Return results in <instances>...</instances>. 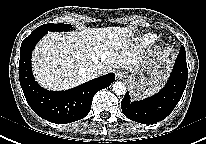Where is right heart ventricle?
Segmentation results:
<instances>
[{
  "label": "right heart ventricle",
  "instance_id": "obj_1",
  "mask_svg": "<svg viewBox=\"0 0 206 144\" xmlns=\"http://www.w3.org/2000/svg\"><path fill=\"white\" fill-rule=\"evenodd\" d=\"M156 39L154 34H144L138 38V42L141 46H147Z\"/></svg>",
  "mask_w": 206,
  "mask_h": 144
}]
</instances>
